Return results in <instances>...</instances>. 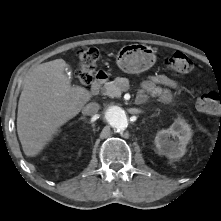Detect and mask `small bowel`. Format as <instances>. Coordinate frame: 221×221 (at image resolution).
<instances>
[{"label": "small bowel", "mask_w": 221, "mask_h": 221, "mask_svg": "<svg viewBox=\"0 0 221 221\" xmlns=\"http://www.w3.org/2000/svg\"><path fill=\"white\" fill-rule=\"evenodd\" d=\"M156 85H164L170 88H177L178 83L164 74H158L152 76L148 81L143 84V90L146 92H150Z\"/></svg>", "instance_id": "1"}]
</instances>
